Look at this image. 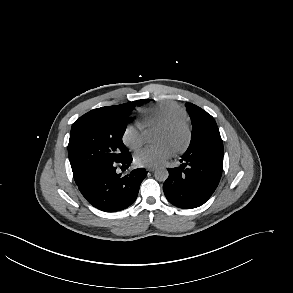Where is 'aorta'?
I'll return each instance as SVG.
<instances>
[{
    "instance_id": "1",
    "label": "aorta",
    "mask_w": 293,
    "mask_h": 293,
    "mask_svg": "<svg viewBox=\"0 0 293 293\" xmlns=\"http://www.w3.org/2000/svg\"><path fill=\"white\" fill-rule=\"evenodd\" d=\"M169 176V173L166 168H158L155 171V179L164 182Z\"/></svg>"
}]
</instances>
